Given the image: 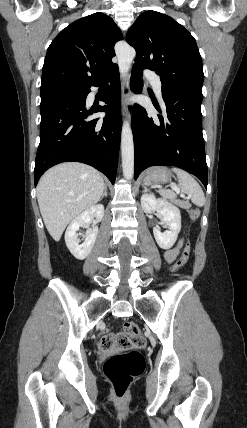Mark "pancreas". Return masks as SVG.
Returning <instances> with one entry per match:
<instances>
[{"label":"pancreas","instance_id":"1","mask_svg":"<svg viewBox=\"0 0 247 428\" xmlns=\"http://www.w3.org/2000/svg\"><path fill=\"white\" fill-rule=\"evenodd\" d=\"M174 203L183 209H189L191 207L190 203L187 201L175 200Z\"/></svg>","mask_w":247,"mask_h":428}]
</instances>
